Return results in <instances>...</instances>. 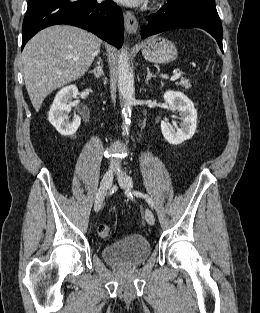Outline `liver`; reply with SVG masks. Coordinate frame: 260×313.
Wrapping results in <instances>:
<instances>
[{
	"mask_svg": "<svg viewBox=\"0 0 260 313\" xmlns=\"http://www.w3.org/2000/svg\"><path fill=\"white\" fill-rule=\"evenodd\" d=\"M100 45L93 33L69 25L48 27L28 41L22 53L23 77L37 112L53 90L86 73Z\"/></svg>",
	"mask_w": 260,
	"mask_h": 313,
	"instance_id": "1",
	"label": "liver"
}]
</instances>
